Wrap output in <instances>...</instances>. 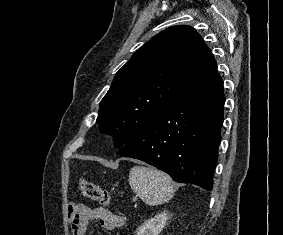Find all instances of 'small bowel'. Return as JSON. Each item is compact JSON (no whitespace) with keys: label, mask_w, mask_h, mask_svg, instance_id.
Returning a JSON list of instances; mask_svg holds the SVG:
<instances>
[{"label":"small bowel","mask_w":283,"mask_h":235,"mask_svg":"<svg viewBox=\"0 0 283 235\" xmlns=\"http://www.w3.org/2000/svg\"><path fill=\"white\" fill-rule=\"evenodd\" d=\"M67 212L72 235H85L89 223L93 220H97L101 227L108 231L121 228L125 223L122 215L101 208L92 209L82 204H70Z\"/></svg>","instance_id":"obj_1"}]
</instances>
